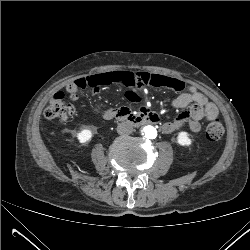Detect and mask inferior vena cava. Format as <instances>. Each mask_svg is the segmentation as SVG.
Segmentation results:
<instances>
[{
	"label": "inferior vena cava",
	"instance_id": "602c4592",
	"mask_svg": "<svg viewBox=\"0 0 250 250\" xmlns=\"http://www.w3.org/2000/svg\"><path fill=\"white\" fill-rule=\"evenodd\" d=\"M117 132L120 135H128L133 132V127L127 122H122L117 126Z\"/></svg>",
	"mask_w": 250,
	"mask_h": 250
}]
</instances>
